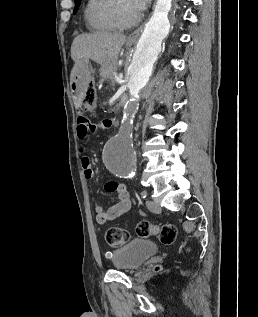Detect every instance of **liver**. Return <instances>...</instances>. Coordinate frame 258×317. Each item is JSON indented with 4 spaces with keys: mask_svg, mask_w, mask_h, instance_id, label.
Masks as SVG:
<instances>
[{
    "mask_svg": "<svg viewBox=\"0 0 258 317\" xmlns=\"http://www.w3.org/2000/svg\"><path fill=\"white\" fill-rule=\"evenodd\" d=\"M127 36L122 32L96 30L75 36L71 46V56L75 62L81 58H92L101 64V70H114L120 48Z\"/></svg>",
    "mask_w": 258,
    "mask_h": 317,
    "instance_id": "obj_1",
    "label": "liver"
}]
</instances>
